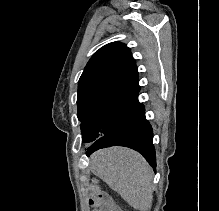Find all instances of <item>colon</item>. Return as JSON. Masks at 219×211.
<instances>
[{
	"label": "colon",
	"mask_w": 219,
	"mask_h": 211,
	"mask_svg": "<svg viewBox=\"0 0 219 211\" xmlns=\"http://www.w3.org/2000/svg\"><path fill=\"white\" fill-rule=\"evenodd\" d=\"M88 193H89V204L93 207L92 211H95L99 205V201L103 194L101 190L99 189V186L96 180H93L91 182Z\"/></svg>",
	"instance_id": "5ec220e1"
}]
</instances>
